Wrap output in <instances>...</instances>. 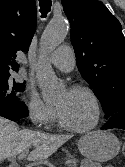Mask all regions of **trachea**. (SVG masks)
Masks as SVG:
<instances>
[{
	"instance_id": "1",
	"label": "trachea",
	"mask_w": 125,
	"mask_h": 167,
	"mask_svg": "<svg viewBox=\"0 0 125 167\" xmlns=\"http://www.w3.org/2000/svg\"><path fill=\"white\" fill-rule=\"evenodd\" d=\"M40 12L42 17H45L46 14L50 11L52 3L51 0H39Z\"/></svg>"
}]
</instances>
